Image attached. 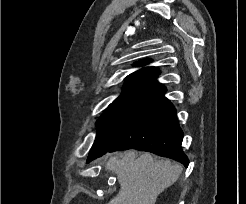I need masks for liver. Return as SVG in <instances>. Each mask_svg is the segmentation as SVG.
<instances>
[{"mask_svg": "<svg viewBox=\"0 0 246 204\" xmlns=\"http://www.w3.org/2000/svg\"><path fill=\"white\" fill-rule=\"evenodd\" d=\"M106 169L117 175L119 193L108 204H155L160 193L173 185L182 166L169 160H155L150 153L139 157L131 150L123 157L113 155Z\"/></svg>", "mask_w": 246, "mask_h": 204, "instance_id": "obj_1", "label": "liver"}]
</instances>
